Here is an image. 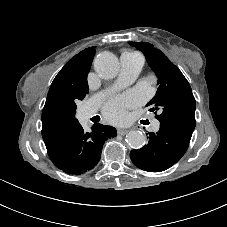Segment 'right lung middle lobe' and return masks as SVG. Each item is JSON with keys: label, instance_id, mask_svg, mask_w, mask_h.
I'll use <instances>...</instances> for the list:
<instances>
[{"label": "right lung middle lobe", "instance_id": "1", "mask_svg": "<svg viewBox=\"0 0 227 227\" xmlns=\"http://www.w3.org/2000/svg\"><path fill=\"white\" fill-rule=\"evenodd\" d=\"M87 91L81 93L61 92L46 99L42 111V137L44 140L66 132L78 124L75 118L76 102L83 100Z\"/></svg>", "mask_w": 227, "mask_h": 227}]
</instances>
